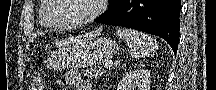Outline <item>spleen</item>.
<instances>
[{
    "label": "spleen",
    "instance_id": "3e777b00",
    "mask_svg": "<svg viewBox=\"0 0 216 90\" xmlns=\"http://www.w3.org/2000/svg\"><path fill=\"white\" fill-rule=\"evenodd\" d=\"M117 34L121 40L127 42L133 58H147L158 50L156 40L148 34H142L137 30H128V28H119Z\"/></svg>",
    "mask_w": 216,
    "mask_h": 90
}]
</instances>
